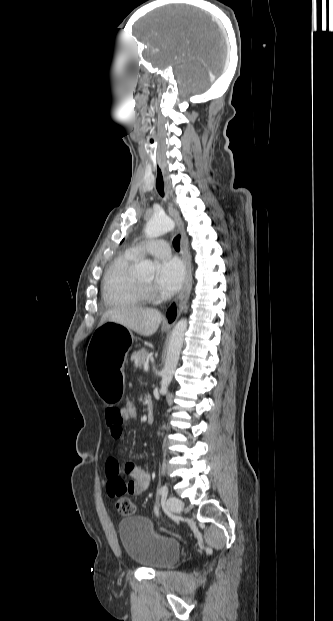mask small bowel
Here are the masks:
<instances>
[{"instance_id":"c3829d8e","label":"small bowel","mask_w":333,"mask_h":621,"mask_svg":"<svg viewBox=\"0 0 333 621\" xmlns=\"http://www.w3.org/2000/svg\"><path fill=\"white\" fill-rule=\"evenodd\" d=\"M105 421L109 435L114 439H120L123 434V424L125 418L121 407L110 406L105 411ZM107 474V493L110 498L123 497L125 495H139L143 493L150 484L149 473L129 461L122 468L115 457H108L106 460ZM124 472L129 476L128 480L121 477Z\"/></svg>"}]
</instances>
